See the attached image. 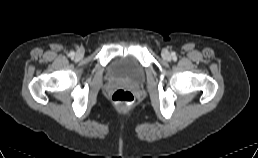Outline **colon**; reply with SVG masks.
I'll use <instances>...</instances> for the list:
<instances>
[{
	"instance_id": "5ec220e1",
	"label": "colon",
	"mask_w": 258,
	"mask_h": 158,
	"mask_svg": "<svg viewBox=\"0 0 258 158\" xmlns=\"http://www.w3.org/2000/svg\"><path fill=\"white\" fill-rule=\"evenodd\" d=\"M112 100L115 103L130 106L134 102V95L125 89H118L112 94Z\"/></svg>"
}]
</instances>
